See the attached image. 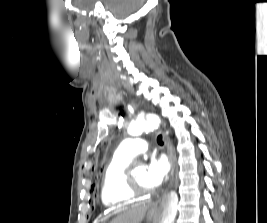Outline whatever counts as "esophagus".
Returning <instances> with one entry per match:
<instances>
[{
    "instance_id": "1",
    "label": "esophagus",
    "mask_w": 267,
    "mask_h": 223,
    "mask_svg": "<svg viewBox=\"0 0 267 223\" xmlns=\"http://www.w3.org/2000/svg\"><path fill=\"white\" fill-rule=\"evenodd\" d=\"M162 135H163V141H164L165 147L167 149L168 158L171 164V180H173L174 170H175L174 150H173L172 144L168 136L164 132H162ZM157 207H158V203H155L151 208V212H156Z\"/></svg>"
}]
</instances>
